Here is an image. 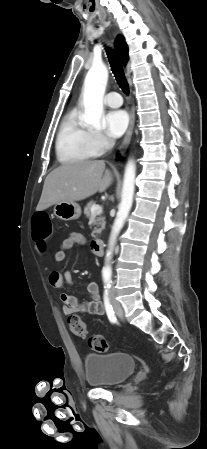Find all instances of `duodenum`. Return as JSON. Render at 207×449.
I'll use <instances>...</instances> for the list:
<instances>
[{
  "label": "duodenum",
  "instance_id": "obj_1",
  "mask_svg": "<svg viewBox=\"0 0 207 449\" xmlns=\"http://www.w3.org/2000/svg\"><path fill=\"white\" fill-rule=\"evenodd\" d=\"M91 249L96 255H103L104 241L102 239H94L91 241Z\"/></svg>",
  "mask_w": 207,
  "mask_h": 449
}]
</instances>
